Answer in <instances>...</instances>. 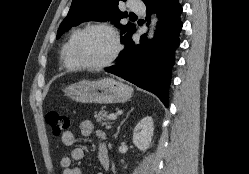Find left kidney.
Returning a JSON list of instances; mask_svg holds the SVG:
<instances>
[{
  "instance_id": "left-kidney-1",
  "label": "left kidney",
  "mask_w": 249,
  "mask_h": 174,
  "mask_svg": "<svg viewBox=\"0 0 249 174\" xmlns=\"http://www.w3.org/2000/svg\"><path fill=\"white\" fill-rule=\"evenodd\" d=\"M153 132L154 125L152 117H144L134 128L133 143L141 151L145 152L151 145Z\"/></svg>"
}]
</instances>
